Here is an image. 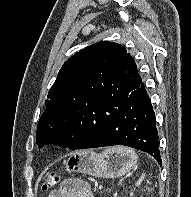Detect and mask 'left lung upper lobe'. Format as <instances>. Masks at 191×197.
<instances>
[{"mask_svg": "<svg viewBox=\"0 0 191 197\" xmlns=\"http://www.w3.org/2000/svg\"><path fill=\"white\" fill-rule=\"evenodd\" d=\"M134 74H138L134 59L120 44L98 42L75 53L63 64L49 90L46 110L37 126V145L66 147L65 135L74 127L75 118L92 113L103 93Z\"/></svg>", "mask_w": 191, "mask_h": 197, "instance_id": "5c2ea615", "label": "left lung upper lobe"}]
</instances>
